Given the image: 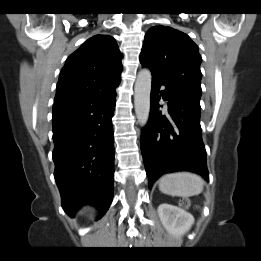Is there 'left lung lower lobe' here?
<instances>
[{"instance_id":"left-lung-lower-lobe-1","label":"left lung lower lobe","mask_w":261,"mask_h":261,"mask_svg":"<svg viewBox=\"0 0 261 261\" xmlns=\"http://www.w3.org/2000/svg\"><path fill=\"white\" fill-rule=\"evenodd\" d=\"M161 98L168 101L166 112L159 109ZM150 99L149 120L140 143L149 189L169 172L192 171L208 179L200 97L152 77Z\"/></svg>"}]
</instances>
